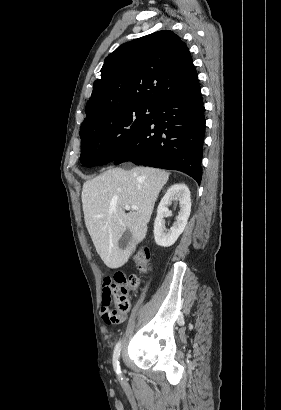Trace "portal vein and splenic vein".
Wrapping results in <instances>:
<instances>
[{
  "label": "portal vein and splenic vein",
  "mask_w": 281,
  "mask_h": 410,
  "mask_svg": "<svg viewBox=\"0 0 281 410\" xmlns=\"http://www.w3.org/2000/svg\"><path fill=\"white\" fill-rule=\"evenodd\" d=\"M124 208H125V210H130V209H132V210H138V207H136V206H130V205H126Z\"/></svg>",
  "instance_id": "obj_1"
}]
</instances>
